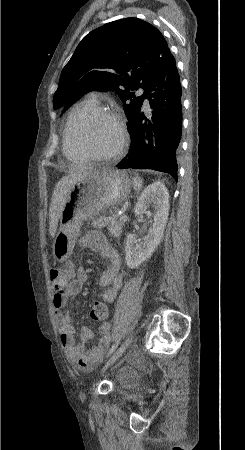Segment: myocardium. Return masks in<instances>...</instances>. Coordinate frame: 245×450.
Here are the masks:
<instances>
[{
	"label": "myocardium",
	"mask_w": 245,
	"mask_h": 450,
	"mask_svg": "<svg viewBox=\"0 0 245 450\" xmlns=\"http://www.w3.org/2000/svg\"><path fill=\"white\" fill-rule=\"evenodd\" d=\"M99 119H108L113 121L117 126H118V130L120 133V143L118 148L113 151L110 154L107 155H96L94 153H92L87 146H85L83 143H81V141L78 138V134L75 128V121H73L71 123V134H72V140H73V144L74 146L80 150L87 158L94 160V161H98V162H109V161H113L118 159L119 157H121L124 152L126 151V148L128 146V142H129V134H128V130H127V126L124 122V120L122 119L121 116H119L117 113L108 110V109H95L92 112H90L89 114H87L85 117H83L82 122L85 124V126L89 127L90 125H92L95 121L99 120Z\"/></svg>",
	"instance_id": "myocardium-1"
}]
</instances>
